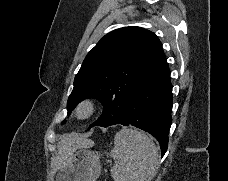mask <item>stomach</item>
Segmentation results:
<instances>
[{"instance_id":"0dacf381","label":"stomach","mask_w":228,"mask_h":181,"mask_svg":"<svg viewBox=\"0 0 228 181\" xmlns=\"http://www.w3.org/2000/svg\"><path fill=\"white\" fill-rule=\"evenodd\" d=\"M101 169L98 155L82 147V149H76L70 163L60 169L56 181H97L101 175Z\"/></svg>"}]
</instances>
